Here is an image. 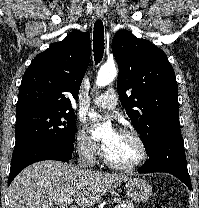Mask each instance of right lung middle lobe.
Returning <instances> with one entry per match:
<instances>
[{
	"label": "right lung middle lobe",
	"mask_w": 199,
	"mask_h": 208,
	"mask_svg": "<svg viewBox=\"0 0 199 208\" xmlns=\"http://www.w3.org/2000/svg\"><path fill=\"white\" fill-rule=\"evenodd\" d=\"M75 114L73 110L27 108L16 111L15 155L33 145L54 144L74 150Z\"/></svg>",
	"instance_id": "dd1d6c3e"
}]
</instances>
